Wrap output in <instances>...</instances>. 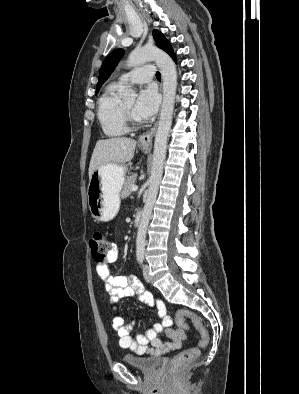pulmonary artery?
Masks as SVG:
<instances>
[{"label":"pulmonary artery","mask_w":299,"mask_h":394,"mask_svg":"<svg viewBox=\"0 0 299 394\" xmlns=\"http://www.w3.org/2000/svg\"><path fill=\"white\" fill-rule=\"evenodd\" d=\"M155 75V69L152 65H143L134 69L133 71L123 75L119 83L121 85L130 84H142L152 80Z\"/></svg>","instance_id":"obj_1"}]
</instances>
